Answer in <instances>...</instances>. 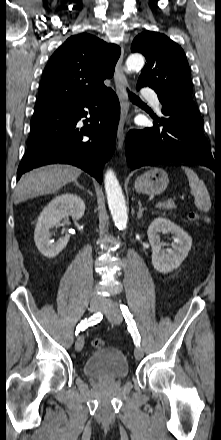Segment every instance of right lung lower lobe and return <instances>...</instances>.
<instances>
[{"mask_svg":"<svg viewBox=\"0 0 221 440\" xmlns=\"http://www.w3.org/2000/svg\"><path fill=\"white\" fill-rule=\"evenodd\" d=\"M119 116V101L112 89L94 97L35 107L17 180L34 168L66 163L101 183L103 165L114 152ZM81 118H87L83 127L78 124Z\"/></svg>","mask_w":221,"mask_h":440,"instance_id":"98d812e1","label":"right lung lower lobe"}]
</instances>
